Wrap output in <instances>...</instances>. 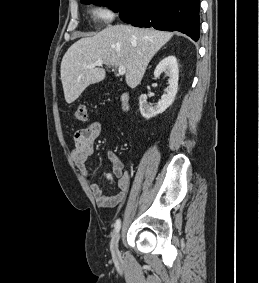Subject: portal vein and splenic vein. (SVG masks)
Returning a JSON list of instances; mask_svg holds the SVG:
<instances>
[{"mask_svg": "<svg viewBox=\"0 0 259 283\" xmlns=\"http://www.w3.org/2000/svg\"><path fill=\"white\" fill-rule=\"evenodd\" d=\"M102 64H103V60L99 59L95 61V63L92 66H102ZM118 72L120 75H124L126 72L125 66H119Z\"/></svg>", "mask_w": 259, "mask_h": 283, "instance_id": "portal-vein-and-splenic-vein-1", "label": "portal vein and splenic vein"}]
</instances>
